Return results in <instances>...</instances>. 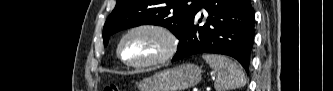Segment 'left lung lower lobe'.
<instances>
[{
	"mask_svg": "<svg viewBox=\"0 0 333 91\" xmlns=\"http://www.w3.org/2000/svg\"><path fill=\"white\" fill-rule=\"evenodd\" d=\"M206 9L207 23L199 26L198 12ZM255 14L250 0H202L178 37L172 61L198 53H217L238 60L247 71L253 45Z\"/></svg>",
	"mask_w": 333,
	"mask_h": 91,
	"instance_id": "1",
	"label": "left lung lower lobe"
}]
</instances>
